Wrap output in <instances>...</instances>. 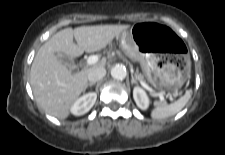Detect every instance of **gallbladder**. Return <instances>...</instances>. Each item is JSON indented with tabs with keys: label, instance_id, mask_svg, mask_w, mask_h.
<instances>
[{
	"label": "gallbladder",
	"instance_id": "obj_1",
	"mask_svg": "<svg viewBox=\"0 0 225 155\" xmlns=\"http://www.w3.org/2000/svg\"><path fill=\"white\" fill-rule=\"evenodd\" d=\"M56 56L58 59L65 64L70 70H75V61L73 59L68 58L66 55L63 53H56Z\"/></svg>",
	"mask_w": 225,
	"mask_h": 155
}]
</instances>
